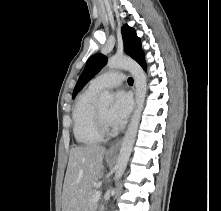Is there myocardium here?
<instances>
[{
    "mask_svg": "<svg viewBox=\"0 0 221 211\" xmlns=\"http://www.w3.org/2000/svg\"><path fill=\"white\" fill-rule=\"evenodd\" d=\"M95 119L99 133L102 137H108L113 134L108 122L101 115L98 107L95 109Z\"/></svg>",
    "mask_w": 221,
    "mask_h": 211,
    "instance_id": "obj_1",
    "label": "myocardium"
}]
</instances>
